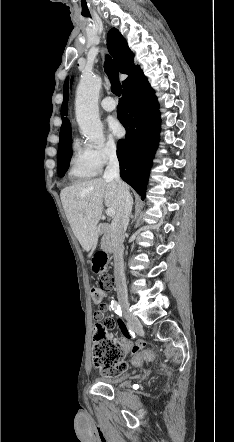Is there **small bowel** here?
Returning <instances> with one entry per match:
<instances>
[{"label":"small bowel","instance_id":"c3829d8e","mask_svg":"<svg viewBox=\"0 0 234 442\" xmlns=\"http://www.w3.org/2000/svg\"><path fill=\"white\" fill-rule=\"evenodd\" d=\"M109 309V306L105 303L103 306H100L99 310H97L94 314L96 322L93 325L95 331L102 333L103 331H115L116 328H122L124 337L119 340L122 345L124 353L130 352L134 349H140L145 347V343L143 340H137L135 342L130 340V335L126 330V321L124 319H119L117 315L114 314H106L105 311Z\"/></svg>","mask_w":234,"mask_h":442}]
</instances>
